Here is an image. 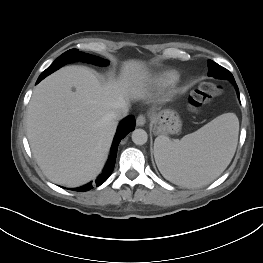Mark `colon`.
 <instances>
[{"label":"colon","instance_id":"5ec220e1","mask_svg":"<svg viewBox=\"0 0 263 263\" xmlns=\"http://www.w3.org/2000/svg\"><path fill=\"white\" fill-rule=\"evenodd\" d=\"M221 93H222L221 86L211 82H204L200 84L199 87L192 92L189 98V106L191 110L196 111L202 106L210 103Z\"/></svg>","mask_w":263,"mask_h":263}]
</instances>
